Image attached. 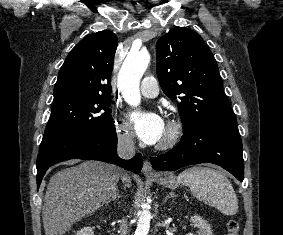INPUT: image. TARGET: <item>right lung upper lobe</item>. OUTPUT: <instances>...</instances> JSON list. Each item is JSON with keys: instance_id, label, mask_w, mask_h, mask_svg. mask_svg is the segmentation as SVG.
<instances>
[{"instance_id": "1", "label": "right lung upper lobe", "mask_w": 283, "mask_h": 235, "mask_svg": "<svg viewBox=\"0 0 283 235\" xmlns=\"http://www.w3.org/2000/svg\"><path fill=\"white\" fill-rule=\"evenodd\" d=\"M117 44L116 35L107 30L84 37L59 71L53 103L71 97L110 96Z\"/></svg>"}]
</instances>
